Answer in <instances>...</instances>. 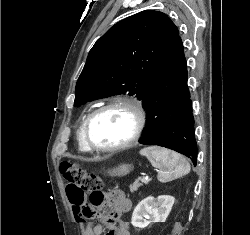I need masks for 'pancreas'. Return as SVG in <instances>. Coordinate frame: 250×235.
<instances>
[{
    "instance_id": "pancreas-1",
    "label": "pancreas",
    "mask_w": 250,
    "mask_h": 235,
    "mask_svg": "<svg viewBox=\"0 0 250 235\" xmlns=\"http://www.w3.org/2000/svg\"><path fill=\"white\" fill-rule=\"evenodd\" d=\"M141 183H139V182H134L132 185H130V191L131 192H134V191H137L138 190V188H140L141 187Z\"/></svg>"
}]
</instances>
